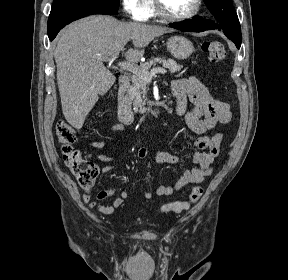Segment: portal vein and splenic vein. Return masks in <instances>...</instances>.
Segmentation results:
<instances>
[{
  "label": "portal vein and splenic vein",
  "mask_w": 288,
  "mask_h": 280,
  "mask_svg": "<svg viewBox=\"0 0 288 280\" xmlns=\"http://www.w3.org/2000/svg\"><path fill=\"white\" fill-rule=\"evenodd\" d=\"M118 54L119 53H115L111 57L103 56L102 59L105 60V61H113V59ZM118 66L121 69L130 71V72H132L134 74H141V77L144 78L146 81H150L152 79V77L155 76L158 73L166 74V70L164 68H161V67L154 68V69L151 70V72H148V71L141 72L139 66H137V65H135L134 63H131V62H119Z\"/></svg>",
  "instance_id": "obj_1"
}]
</instances>
